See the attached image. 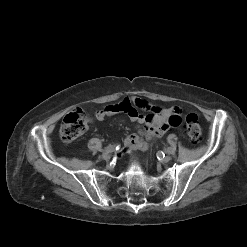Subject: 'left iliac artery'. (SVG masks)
Segmentation results:
<instances>
[{
	"instance_id": "left-iliac-artery-1",
	"label": "left iliac artery",
	"mask_w": 247,
	"mask_h": 247,
	"mask_svg": "<svg viewBox=\"0 0 247 247\" xmlns=\"http://www.w3.org/2000/svg\"><path fill=\"white\" fill-rule=\"evenodd\" d=\"M168 153H170V154H173L174 153V149L173 148H167V150H166Z\"/></svg>"
}]
</instances>
